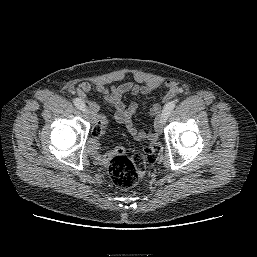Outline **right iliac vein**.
<instances>
[{"instance_id": "obj_1", "label": "right iliac vein", "mask_w": 257, "mask_h": 257, "mask_svg": "<svg viewBox=\"0 0 257 257\" xmlns=\"http://www.w3.org/2000/svg\"><path fill=\"white\" fill-rule=\"evenodd\" d=\"M84 113V117L88 120H93V114L91 112V110L89 108H85V110L83 111Z\"/></svg>"}]
</instances>
